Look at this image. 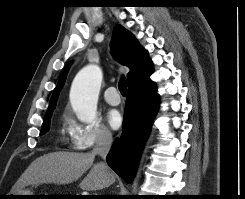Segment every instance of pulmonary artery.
Here are the masks:
<instances>
[{
  "instance_id": "pulmonary-artery-1",
  "label": "pulmonary artery",
  "mask_w": 245,
  "mask_h": 199,
  "mask_svg": "<svg viewBox=\"0 0 245 199\" xmlns=\"http://www.w3.org/2000/svg\"><path fill=\"white\" fill-rule=\"evenodd\" d=\"M103 97L108 104L113 105V106L119 105L121 102V98L118 95L117 89L113 86L108 87L104 91Z\"/></svg>"
}]
</instances>
